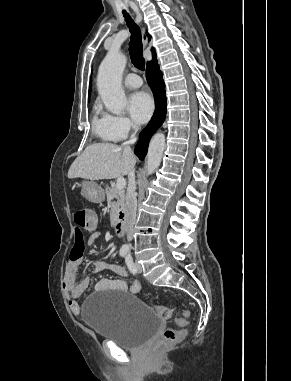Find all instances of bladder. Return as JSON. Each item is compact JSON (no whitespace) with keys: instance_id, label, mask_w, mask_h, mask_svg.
Here are the masks:
<instances>
[{"instance_id":"31cf9c89","label":"bladder","mask_w":291,"mask_h":381,"mask_svg":"<svg viewBox=\"0 0 291 381\" xmlns=\"http://www.w3.org/2000/svg\"><path fill=\"white\" fill-rule=\"evenodd\" d=\"M81 318L98 337L127 350L142 348L162 326L161 317L129 292L114 297L101 292L92 295L85 301Z\"/></svg>"}]
</instances>
